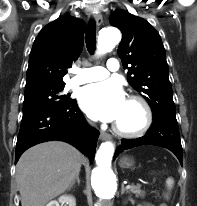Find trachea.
I'll return each mask as SVG.
<instances>
[{"label":"trachea","instance_id":"obj_1","mask_svg":"<svg viewBox=\"0 0 197 206\" xmlns=\"http://www.w3.org/2000/svg\"><path fill=\"white\" fill-rule=\"evenodd\" d=\"M85 40H86V47L89 53L93 54L95 51V45H96V25L93 20L89 22V25L86 31Z\"/></svg>","mask_w":197,"mask_h":206}]
</instances>
